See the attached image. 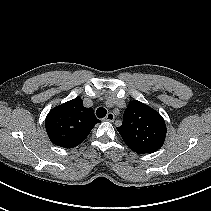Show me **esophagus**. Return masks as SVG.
Segmentation results:
<instances>
[{"label":"esophagus","mask_w":211,"mask_h":211,"mask_svg":"<svg viewBox=\"0 0 211 211\" xmlns=\"http://www.w3.org/2000/svg\"><path fill=\"white\" fill-rule=\"evenodd\" d=\"M114 119H115V116H114V114H113L112 112H109V113L107 114V116L105 117V120H106V121H109V122H113Z\"/></svg>","instance_id":"1"}]
</instances>
